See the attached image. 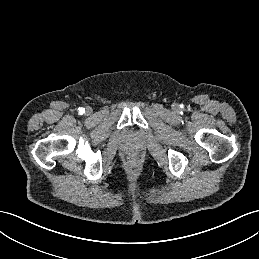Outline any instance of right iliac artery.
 I'll list each match as a JSON object with an SVG mask.
<instances>
[{"mask_svg": "<svg viewBox=\"0 0 259 259\" xmlns=\"http://www.w3.org/2000/svg\"><path fill=\"white\" fill-rule=\"evenodd\" d=\"M78 110H79V114H83V113H85V109H84V108H82V107L78 108Z\"/></svg>", "mask_w": 259, "mask_h": 259, "instance_id": "1", "label": "right iliac artery"}]
</instances>
